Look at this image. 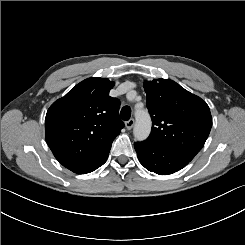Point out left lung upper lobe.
I'll list each match as a JSON object with an SVG mask.
<instances>
[{
  "label": "left lung upper lobe",
  "mask_w": 245,
  "mask_h": 245,
  "mask_svg": "<svg viewBox=\"0 0 245 245\" xmlns=\"http://www.w3.org/2000/svg\"><path fill=\"white\" fill-rule=\"evenodd\" d=\"M144 89L153 122L144 142L175 151L191 161L204 146L212 127L208 105L172 80L145 81Z\"/></svg>",
  "instance_id": "5c2ea615"
}]
</instances>
